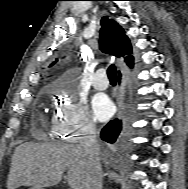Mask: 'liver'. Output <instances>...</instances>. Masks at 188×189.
<instances>
[{"instance_id": "6515ba94", "label": "liver", "mask_w": 188, "mask_h": 189, "mask_svg": "<svg viewBox=\"0 0 188 189\" xmlns=\"http://www.w3.org/2000/svg\"><path fill=\"white\" fill-rule=\"evenodd\" d=\"M66 170L69 186L72 189H85L90 163L78 146L65 143H23L12 156L7 188L31 186L32 189H43L55 186Z\"/></svg>"}]
</instances>
